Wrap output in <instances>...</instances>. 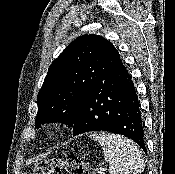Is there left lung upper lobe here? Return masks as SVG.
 Returning a JSON list of instances; mask_svg holds the SVG:
<instances>
[{
    "mask_svg": "<svg viewBox=\"0 0 175 174\" xmlns=\"http://www.w3.org/2000/svg\"><path fill=\"white\" fill-rule=\"evenodd\" d=\"M114 45L98 35L74 40L51 64L37 96L36 128L61 121L72 126L83 96L119 64Z\"/></svg>",
    "mask_w": 175,
    "mask_h": 174,
    "instance_id": "left-lung-upper-lobe-1",
    "label": "left lung upper lobe"
}]
</instances>
